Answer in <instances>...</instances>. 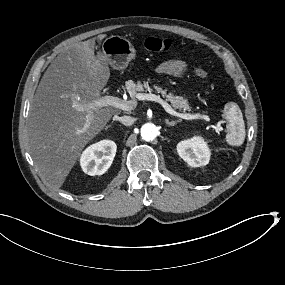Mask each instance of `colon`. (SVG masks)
<instances>
[{"instance_id":"5ec220e1","label":"colon","mask_w":285,"mask_h":285,"mask_svg":"<svg viewBox=\"0 0 285 285\" xmlns=\"http://www.w3.org/2000/svg\"><path fill=\"white\" fill-rule=\"evenodd\" d=\"M144 47L150 52L161 53L169 51L172 47V42L169 39L149 37L144 41ZM194 73L200 78H206L208 76L207 71L201 68H196Z\"/></svg>"}]
</instances>
